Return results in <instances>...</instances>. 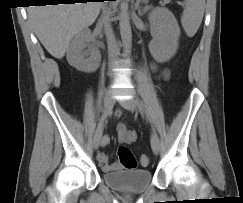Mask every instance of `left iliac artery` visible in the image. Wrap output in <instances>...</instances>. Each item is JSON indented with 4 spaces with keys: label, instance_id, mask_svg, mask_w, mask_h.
Masks as SVG:
<instances>
[{
    "label": "left iliac artery",
    "instance_id": "1",
    "mask_svg": "<svg viewBox=\"0 0 243 203\" xmlns=\"http://www.w3.org/2000/svg\"><path fill=\"white\" fill-rule=\"evenodd\" d=\"M136 101L138 102L139 106L146 112V115L149 118V120L153 123L151 114H150L148 108L146 107V105L143 103V101L140 100L139 98H136Z\"/></svg>",
    "mask_w": 243,
    "mask_h": 203
}]
</instances>
